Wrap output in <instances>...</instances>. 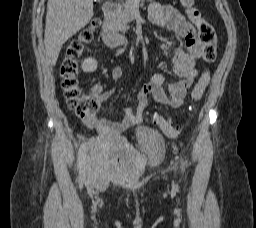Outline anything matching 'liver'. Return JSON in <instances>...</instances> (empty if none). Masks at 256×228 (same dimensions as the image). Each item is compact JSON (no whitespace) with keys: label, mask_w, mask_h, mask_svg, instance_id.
<instances>
[{"label":"liver","mask_w":256,"mask_h":228,"mask_svg":"<svg viewBox=\"0 0 256 228\" xmlns=\"http://www.w3.org/2000/svg\"><path fill=\"white\" fill-rule=\"evenodd\" d=\"M93 14V0H48L44 44L52 66L63 44L85 27Z\"/></svg>","instance_id":"obj_1"}]
</instances>
